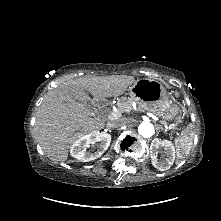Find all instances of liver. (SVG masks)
I'll list each match as a JSON object with an SVG mask.
<instances>
[{"label":"liver","instance_id":"liver-1","mask_svg":"<svg viewBox=\"0 0 221 221\" xmlns=\"http://www.w3.org/2000/svg\"><path fill=\"white\" fill-rule=\"evenodd\" d=\"M133 76H86L65 82L49 91L37 112L34 135L45 154L64 162L78 138L104 128L105 120L90 118L89 92L96 100L122 95L135 83ZM86 90V91H85Z\"/></svg>","mask_w":221,"mask_h":221}]
</instances>
